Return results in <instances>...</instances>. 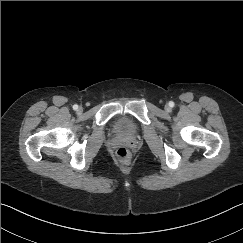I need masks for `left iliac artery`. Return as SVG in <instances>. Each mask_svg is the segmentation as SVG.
Returning <instances> with one entry per match:
<instances>
[{"label": "left iliac artery", "instance_id": "obj_1", "mask_svg": "<svg viewBox=\"0 0 243 243\" xmlns=\"http://www.w3.org/2000/svg\"><path fill=\"white\" fill-rule=\"evenodd\" d=\"M174 105H175L174 102H172V101L169 102L170 107H174Z\"/></svg>", "mask_w": 243, "mask_h": 243}]
</instances>
